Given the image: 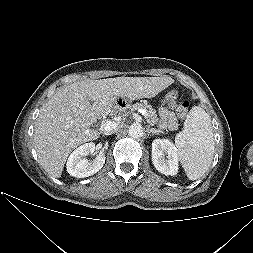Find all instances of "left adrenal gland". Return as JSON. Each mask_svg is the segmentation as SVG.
<instances>
[{"label":"left adrenal gland","instance_id":"left-adrenal-gland-1","mask_svg":"<svg viewBox=\"0 0 253 253\" xmlns=\"http://www.w3.org/2000/svg\"><path fill=\"white\" fill-rule=\"evenodd\" d=\"M147 131H148L149 134H150V133H152V134L163 133L161 130H157V129H154V128H150L149 126H148V128H147Z\"/></svg>","mask_w":253,"mask_h":253}]
</instances>
